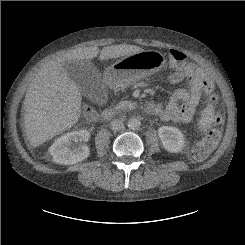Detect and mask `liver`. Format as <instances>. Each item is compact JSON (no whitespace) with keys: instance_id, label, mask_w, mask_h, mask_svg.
Instances as JSON below:
<instances>
[{"instance_id":"1","label":"liver","mask_w":245,"mask_h":245,"mask_svg":"<svg viewBox=\"0 0 245 245\" xmlns=\"http://www.w3.org/2000/svg\"><path fill=\"white\" fill-rule=\"evenodd\" d=\"M144 51L134 45L97 46L71 50L47 62L32 79L24 99V127L28 141L37 147L74 126L81 113L79 87L69 78L66 62L125 57Z\"/></svg>"}]
</instances>
